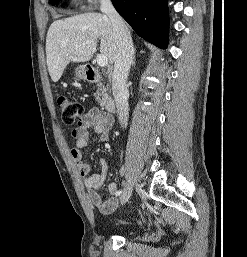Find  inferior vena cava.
I'll use <instances>...</instances> for the list:
<instances>
[{
  "label": "inferior vena cava",
  "mask_w": 247,
  "mask_h": 257,
  "mask_svg": "<svg viewBox=\"0 0 247 257\" xmlns=\"http://www.w3.org/2000/svg\"><path fill=\"white\" fill-rule=\"evenodd\" d=\"M100 9L110 19L116 40L117 54L112 75V91L119 123L126 128L129 114L126 81L134 56L133 43L125 21L115 10L111 0H101Z\"/></svg>",
  "instance_id": "1"
}]
</instances>
